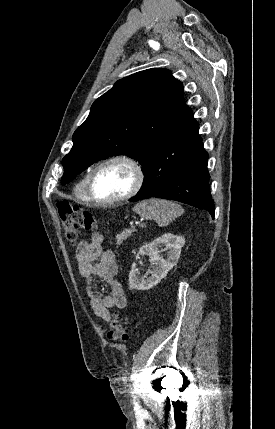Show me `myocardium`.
Instances as JSON below:
<instances>
[{"label": "myocardium", "mask_w": 275, "mask_h": 429, "mask_svg": "<svg viewBox=\"0 0 275 429\" xmlns=\"http://www.w3.org/2000/svg\"><path fill=\"white\" fill-rule=\"evenodd\" d=\"M113 163H122V164L127 165L131 169V171L133 173L132 185H131L130 189L125 194H123L119 197L109 199V200L97 199L94 196L93 190H92L93 179H94L96 173L100 169H102L103 167H105L107 165L113 164ZM143 181H144V172H143V169H142V167L138 161H136L134 158L127 156V155H115V156H111V157L106 158L105 160L99 162L97 165H95L91 169V171L89 172L88 177H87L86 194H87L89 201H91L97 205H102V206L114 205V204L126 201V200L132 198L133 196H135L138 193V191L141 189Z\"/></svg>", "instance_id": "obj_1"}]
</instances>
